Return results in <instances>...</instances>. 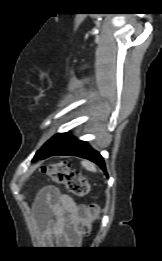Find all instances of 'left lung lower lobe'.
<instances>
[{
  "instance_id": "0a47b994",
  "label": "left lung lower lobe",
  "mask_w": 162,
  "mask_h": 261,
  "mask_svg": "<svg viewBox=\"0 0 162 261\" xmlns=\"http://www.w3.org/2000/svg\"><path fill=\"white\" fill-rule=\"evenodd\" d=\"M54 155H74L79 156L100 166V168L106 172L104 159L99 152L90 147L87 142L78 140L71 135L66 136L59 141L54 147H52L42 159L48 158Z\"/></svg>"
}]
</instances>
